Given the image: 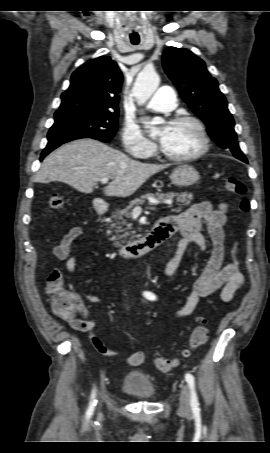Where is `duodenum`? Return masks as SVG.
Returning a JSON list of instances; mask_svg holds the SVG:
<instances>
[{"label":"duodenum","instance_id":"410a0bca","mask_svg":"<svg viewBox=\"0 0 270 453\" xmlns=\"http://www.w3.org/2000/svg\"><path fill=\"white\" fill-rule=\"evenodd\" d=\"M107 212L108 208L105 206H98L96 208L97 214H106ZM175 231L176 229L172 225L161 220L146 236L123 246L120 253L128 258L140 257L169 240Z\"/></svg>","mask_w":270,"mask_h":453}]
</instances>
